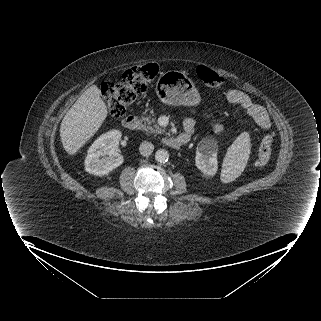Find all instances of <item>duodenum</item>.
Returning <instances> with one entry per match:
<instances>
[{"label":"duodenum","instance_id":"obj_1","mask_svg":"<svg viewBox=\"0 0 321 321\" xmlns=\"http://www.w3.org/2000/svg\"><path fill=\"white\" fill-rule=\"evenodd\" d=\"M123 126L128 130H136L140 126V119L136 115H127L123 121ZM185 137H165L163 143L170 148H180L185 143Z\"/></svg>","mask_w":321,"mask_h":321}]
</instances>
